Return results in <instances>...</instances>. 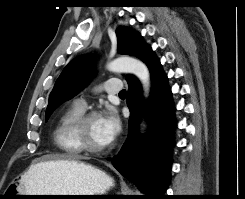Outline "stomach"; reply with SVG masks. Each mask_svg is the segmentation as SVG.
I'll use <instances>...</instances> for the list:
<instances>
[{
	"label": "stomach",
	"mask_w": 245,
	"mask_h": 199,
	"mask_svg": "<svg viewBox=\"0 0 245 199\" xmlns=\"http://www.w3.org/2000/svg\"><path fill=\"white\" fill-rule=\"evenodd\" d=\"M113 186V179L102 170L81 161L65 163L44 177L11 183L14 195H102ZM7 188V189H8ZM25 198L27 196H18ZM81 197L44 196L37 199H68Z\"/></svg>",
	"instance_id": "stomach-1"
}]
</instances>
